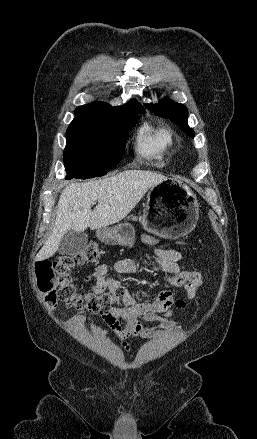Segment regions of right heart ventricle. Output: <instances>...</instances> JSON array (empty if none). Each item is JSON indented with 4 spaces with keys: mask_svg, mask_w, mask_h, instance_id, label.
<instances>
[{
    "mask_svg": "<svg viewBox=\"0 0 257 439\" xmlns=\"http://www.w3.org/2000/svg\"><path fill=\"white\" fill-rule=\"evenodd\" d=\"M173 145V135L166 127L151 128L145 126L137 138V147L144 157L161 161Z\"/></svg>",
    "mask_w": 257,
    "mask_h": 439,
    "instance_id": "1",
    "label": "right heart ventricle"
}]
</instances>
